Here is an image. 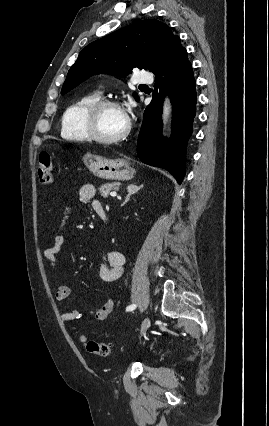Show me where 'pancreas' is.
I'll return each instance as SVG.
<instances>
[{
  "label": "pancreas",
  "mask_w": 269,
  "mask_h": 426,
  "mask_svg": "<svg viewBox=\"0 0 269 426\" xmlns=\"http://www.w3.org/2000/svg\"><path fill=\"white\" fill-rule=\"evenodd\" d=\"M119 189V183L118 182H112V183H105L103 185L100 186L99 188V192L101 193V195L104 198L108 197V194L112 191V190H118Z\"/></svg>",
  "instance_id": "obj_1"
}]
</instances>
